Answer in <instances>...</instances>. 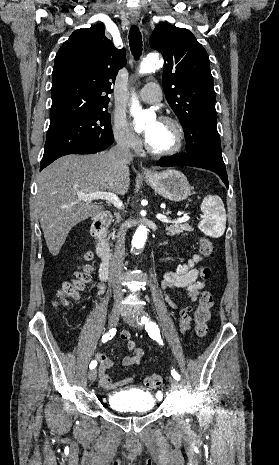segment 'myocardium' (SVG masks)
I'll list each match as a JSON object with an SVG mask.
<instances>
[{"label": "myocardium", "mask_w": 279, "mask_h": 465, "mask_svg": "<svg viewBox=\"0 0 279 465\" xmlns=\"http://www.w3.org/2000/svg\"><path fill=\"white\" fill-rule=\"evenodd\" d=\"M160 122L167 123L171 125L175 132H176V141L175 144L168 150L165 151H156L152 149L147 140H145V149L148 154H150L153 157L157 158H163V157H169L177 154L183 147L184 140H185V135H184V130L182 125L174 118L169 117V116H163L160 118Z\"/></svg>", "instance_id": "f54148a6"}]
</instances>
